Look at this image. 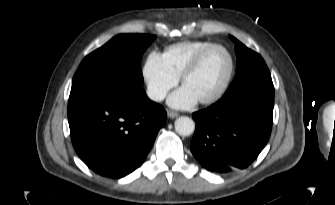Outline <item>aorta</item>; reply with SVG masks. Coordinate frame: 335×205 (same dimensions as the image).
<instances>
[{"mask_svg": "<svg viewBox=\"0 0 335 205\" xmlns=\"http://www.w3.org/2000/svg\"><path fill=\"white\" fill-rule=\"evenodd\" d=\"M195 130L194 121L187 117L181 116L175 120V131L181 136H189Z\"/></svg>", "mask_w": 335, "mask_h": 205, "instance_id": "aorta-1", "label": "aorta"}]
</instances>
